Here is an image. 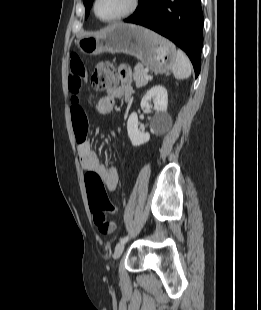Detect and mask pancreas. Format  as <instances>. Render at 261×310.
<instances>
[{
	"label": "pancreas",
	"mask_w": 261,
	"mask_h": 310,
	"mask_svg": "<svg viewBox=\"0 0 261 310\" xmlns=\"http://www.w3.org/2000/svg\"><path fill=\"white\" fill-rule=\"evenodd\" d=\"M147 75V72L144 70L142 65H137L134 68V73H133V79L135 81L136 87H143L147 85L148 81L145 76Z\"/></svg>",
	"instance_id": "cf45deb5"
}]
</instances>
